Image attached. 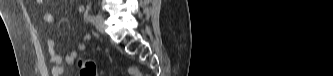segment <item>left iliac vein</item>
<instances>
[{
	"mask_svg": "<svg viewBox=\"0 0 333 76\" xmlns=\"http://www.w3.org/2000/svg\"><path fill=\"white\" fill-rule=\"evenodd\" d=\"M94 24L99 32L104 33L105 21H104V17L101 14L96 15Z\"/></svg>",
	"mask_w": 333,
	"mask_h": 76,
	"instance_id": "1",
	"label": "left iliac vein"
}]
</instances>
